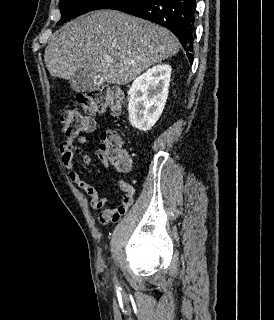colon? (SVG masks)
Here are the masks:
<instances>
[{
  "label": "colon",
  "mask_w": 274,
  "mask_h": 320,
  "mask_svg": "<svg viewBox=\"0 0 274 320\" xmlns=\"http://www.w3.org/2000/svg\"><path fill=\"white\" fill-rule=\"evenodd\" d=\"M116 89L112 87L94 88L77 95L76 102L80 109L64 107L60 112L63 133L82 134L86 130L85 121L93 120V116L107 109H117L120 102ZM98 154L103 153L108 162L118 170L130 167L131 159L124 152L121 136L112 130L103 131L99 135Z\"/></svg>",
  "instance_id": "colon-1"
}]
</instances>
